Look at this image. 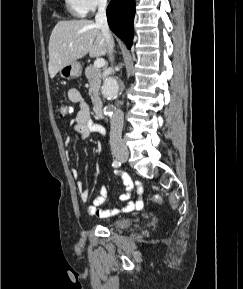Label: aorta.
<instances>
[{
  "label": "aorta",
  "mask_w": 243,
  "mask_h": 289,
  "mask_svg": "<svg viewBox=\"0 0 243 289\" xmlns=\"http://www.w3.org/2000/svg\"><path fill=\"white\" fill-rule=\"evenodd\" d=\"M119 91V85L115 78H108L103 85V95L107 99L111 100L117 97Z\"/></svg>",
  "instance_id": "762f6f07"
}]
</instances>
